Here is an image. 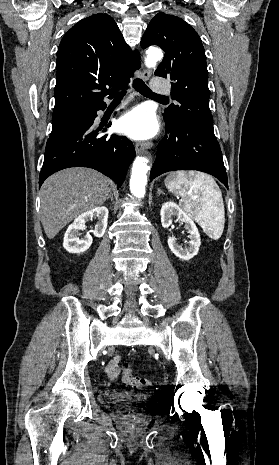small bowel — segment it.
<instances>
[{
	"label": "small bowel",
	"mask_w": 279,
	"mask_h": 465,
	"mask_svg": "<svg viewBox=\"0 0 279 465\" xmlns=\"http://www.w3.org/2000/svg\"><path fill=\"white\" fill-rule=\"evenodd\" d=\"M120 359H121L120 356L117 355L111 361H109L108 364L106 365L105 374L107 375L108 378L115 379L119 375V373H120V368H119Z\"/></svg>",
	"instance_id": "c3829d8e"
}]
</instances>
